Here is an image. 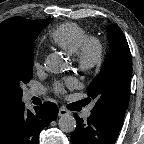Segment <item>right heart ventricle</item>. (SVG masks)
<instances>
[{
    "instance_id": "e07e8e85",
    "label": "right heart ventricle",
    "mask_w": 144,
    "mask_h": 144,
    "mask_svg": "<svg viewBox=\"0 0 144 144\" xmlns=\"http://www.w3.org/2000/svg\"><path fill=\"white\" fill-rule=\"evenodd\" d=\"M87 31L77 23L64 22L52 28L48 34L50 41L70 54H74Z\"/></svg>"
}]
</instances>
